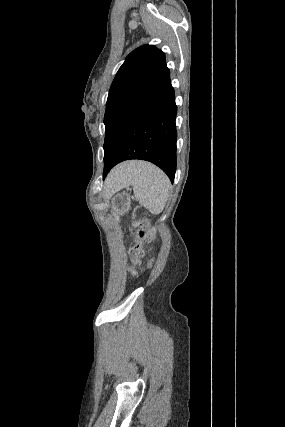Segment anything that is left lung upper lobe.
Listing matches in <instances>:
<instances>
[{
  "mask_svg": "<svg viewBox=\"0 0 285 427\" xmlns=\"http://www.w3.org/2000/svg\"><path fill=\"white\" fill-rule=\"evenodd\" d=\"M169 77L165 54L154 45H143L125 59L112 82L106 104L103 177L126 127Z\"/></svg>",
  "mask_w": 285,
  "mask_h": 427,
  "instance_id": "obj_1",
  "label": "left lung upper lobe"
}]
</instances>
